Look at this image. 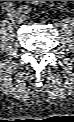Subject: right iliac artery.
Returning a JSON list of instances; mask_svg holds the SVG:
<instances>
[{
    "mask_svg": "<svg viewBox=\"0 0 74 122\" xmlns=\"http://www.w3.org/2000/svg\"><path fill=\"white\" fill-rule=\"evenodd\" d=\"M2 7H3L4 10L10 12L13 9V4L10 3V2H5V3H3Z\"/></svg>",
    "mask_w": 74,
    "mask_h": 122,
    "instance_id": "1",
    "label": "right iliac artery"
}]
</instances>
